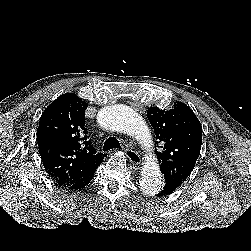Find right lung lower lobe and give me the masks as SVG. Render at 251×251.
I'll return each instance as SVG.
<instances>
[{
  "label": "right lung lower lobe",
  "instance_id": "right-lung-lower-lobe-1",
  "mask_svg": "<svg viewBox=\"0 0 251 251\" xmlns=\"http://www.w3.org/2000/svg\"><path fill=\"white\" fill-rule=\"evenodd\" d=\"M88 183H89V182H88ZM88 183H87V184H88ZM87 184H86V185H87ZM86 185H85V186H86ZM62 188H63V187H62ZM82 188H83V187H82ZM66 189H69V188H66ZM80 189H81V188H80ZM69 190H79V189H69Z\"/></svg>",
  "mask_w": 251,
  "mask_h": 251
}]
</instances>
